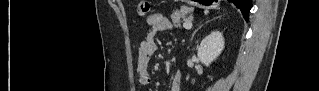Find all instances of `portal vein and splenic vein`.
Here are the masks:
<instances>
[{
  "label": "portal vein and splenic vein",
  "instance_id": "portal-vein-and-splenic-vein-1",
  "mask_svg": "<svg viewBox=\"0 0 319 91\" xmlns=\"http://www.w3.org/2000/svg\"><path fill=\"white\" fill-rule=\"evenodd\" d=\"M183 27L185 29H191L192 28V22L191 21H187L183 24Z\"/></svg>",
  "mask_w": 319,
  "mask_h": 91
}]
</instances>
